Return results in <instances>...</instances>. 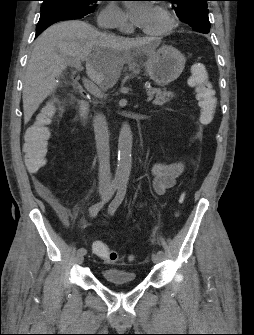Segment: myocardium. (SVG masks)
Returning <instances> with one entry per match:
<instances>
[{
  "label": "myocardium",
  "instance_id": "f54148a6",
  "mask_svg": "<svg viewBox=\"0 0 254 335\" xmlns=\"http://www.w3.org/2000/svg\"><path fill=\"white\" fill-rule=\"evenodd\" d=\"M156 10L165 18L166 20V25L163 29L159 30V31H155V32H151V31H146L147 34L149 35H153V36H164L169 34L175 27L176 25V21L174 16L171 14V12L163 7V6H157Z\"/></svg>",
  "mask_w": 254,
  "mask_h": 335
}]
</instances>
